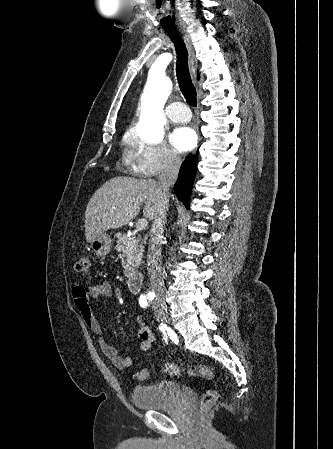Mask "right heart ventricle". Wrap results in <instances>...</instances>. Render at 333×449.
I'll list each match as a JSON object with an SVG mask.
<instances>
[{
    "mask_svg": "<svg viewBox=\"0 0 333 449\" xmlns=\"http://www.w3.org/2000/svg\"><path fill=\"white\" fill-rule=\"evenodd\" d=\"M128 142H129V139H128V138H126V139H125V143L127 144Z\"/></svg>",
    "mask_w": 333,
    "mask_h": 449,
    "instance_id": "obj_1",
    "label": "right heart ventricle"
}]
</instances>
